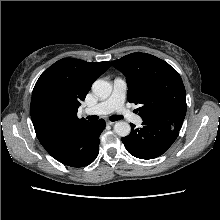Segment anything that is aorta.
Listing matches in <instances>:
<instances>
[{
  "label": "aorta",
  "instance_id": "aorta-1",
  "mask_svg": "<svg viewBox=\"0 0 220 220\" xmlns=\"http://www.w3.org/2000/svg\"><path fill=\"white\" fill-rule=\"evenodd\" d=\"M93 93L101 98L106 99L112 92V85L105 80H96L92 85ZM114 132L121 137H126L131 132L130 125L125 121H118L114 125Z\"/></svg>",
  "mask_w": 220,
  "mask_h": 220
}]
</instances>
